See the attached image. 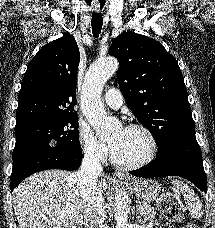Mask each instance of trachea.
<instances>
[{
  "label": "trachea",
  "instance_id": "trachea-1",
  "mask_svg": "<svg viewBox=\"0 0 215 228\" xmlns=\"http://www.w3.org/2000/svg\"><path fill=\"white\" fill-rule=\"evenodd\" d=\"M103 25V18L100 14L92 15V32L95 37H98Z\"/></svg>",
  "mask_w": 215,
  "mask_h": 228
}]
</instances>
